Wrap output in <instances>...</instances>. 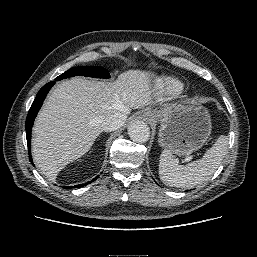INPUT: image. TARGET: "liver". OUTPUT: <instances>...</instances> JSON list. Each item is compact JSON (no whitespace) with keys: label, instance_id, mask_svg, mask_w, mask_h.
I'll return each mask as SVG.
<instances>
[{"label":"liver","instance_id":"1","mask_svg":"<svg viewBox=\"0 0 257 257\" xmlns=\"http://www.w3.org/2000/svg\"><path fill=\"white\" fill-rule=\"evenodd\" d=\"M148 72L129 70L114 82L74 77L48 96L35 121L32 154L50 180L67 164L89 151L103 131L101 120L114 112L155 104Z\"/></svg>","mask_w":257,"mask_h":257}]
</instances>
